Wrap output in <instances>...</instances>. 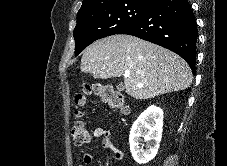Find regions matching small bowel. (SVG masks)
<instances>
[{
	"label": "small bowel",
	"mask_w": 227,
	"mask_h": 166,
	"mask_svg": "<svg viewBox=\"0 0 227 166\" xmlns=\"http://www.w3.org/2000/svg\"><path fill=\"white\" fill-rule=\"evenodd\" d=\"M94 136L101 140V146L110 150L113 153L115 160L122 161L124 159V152L117 148L113 143V134L110 130L103 127H97L94 129ZM78 166H94V160L91 154L85 153L82 158V163Z\"/></svg>",
	"instance_id": "1"
}]
</instances>
